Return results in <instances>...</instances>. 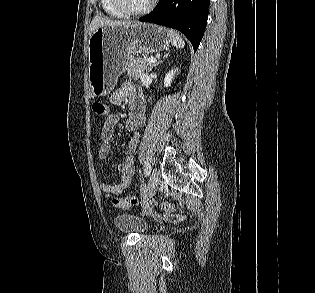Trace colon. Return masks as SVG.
Masks as SVG:
<instances>
[{
  "label": "colon",
  "mask_w": 315,
  "mask_h": 293,
  "mask_svg": "<svg viewBox=\"0 0 315 293\" xmlns=\"http://www.w3.org/2000/svg\"><path fill=\"white\" fill-rule=\"evenodd\" d=\"M94 113L98 116L105 117L108 115V107L102 101H95L92 105ZM112 205L119 209H129L140 203V199L137 196H127L124 198H114L111 201ZM157 204V203H155ZM160 207L167 212L173 211V206L167 202H161Z\"/></svg>",
  "instance_id": "1"
}]
</instances>
